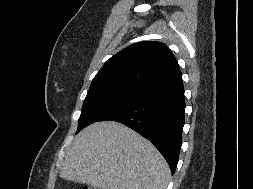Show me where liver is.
I'll use <instances>...</instances> for the list:
<instances>
[{
  "mask_svg": "<svg viewBox=\"0 0 253 189\" xmlns=\"http://www.w3.org/2000/svg\"><path fill=\"white\" fill-rule=\"evenodd\" d=\"M60 177L98 189H166L170 168L146 138L118 122L102 121L75 137Z\"/></svg>",
  "mask_w": 253,
  "mask_h": 189,
  "instance_id": "obj_1",
  "label": "liver"
}]
</instances>
